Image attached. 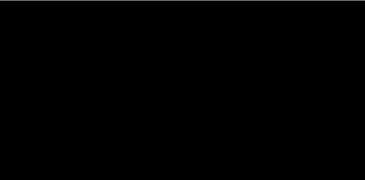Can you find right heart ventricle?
I'll return each instance as SVG.
<instances>
[{"label":"right heart ventricle","mask_w":365,"mask_h":180,"mask_svg":"<svg viewBox=\"0 0 365 180\" xmlns=\"http://www.w3.org/2000/svg\"><path fill=\"white\" fill-rule=\"evenodd\" d=\"M224 71V68L221 66L210 65V64H201L197 66L191 67L185 77L189 84H194L198 81L210 78L214 75H217Z\"/></svg>","instance_id":"obj_1"}]
</instances>
